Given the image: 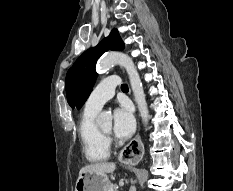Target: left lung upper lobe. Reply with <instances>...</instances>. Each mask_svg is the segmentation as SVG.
Returning a JSON list of instances; mask_svg holds the SVG:
<instances>
[{
	"mask_svg": "<svg viewBox=\"0 0 233 191\" xmlns=\"http://www.w3.org/2000/svg\"><path fill=\"white\" fill-rule=\"evenodd\" d=\"M124 43L117 29L96 47L85 51L68 70L66 75V96L69 105L80 109L87 100L96 79L95 65L98 58L108 50L120 51Z\"/></svg>",
	"mask_w": 233,
	"mask_h": 191,
	"instance_id": "5c2ea615",
	"label": "left lung upper lobe"
}]
</instances>
